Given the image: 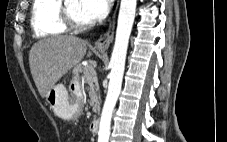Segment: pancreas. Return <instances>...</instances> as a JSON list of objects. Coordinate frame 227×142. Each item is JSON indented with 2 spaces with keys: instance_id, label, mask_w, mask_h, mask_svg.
I'll return each instance as SVG.
<instances>
[{
  "instance_id": "cf45deb5",
  "label": "pancreas",
  "mask_w": 227,
  "mask_h": 142,
  "mask_svg": "<svg viewBox=\"0 0 227 142\" xmlns=\"http://www.w3.org/2000/svg\"><path fill=\"white\" fill-rule=\"evenodd\" d=\"M86 69H84L85 71ZM76 81L80 84V89L82 92L85 91V84H88V87L86 90H88V94L90 97L89 103L93 107L94 112H99L100 110V98L98 94V85L97 80L94 77V74L92 78H88L85 74L84 76H77L75 78Z\"/></svg>"
}]
</instances>
